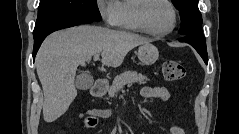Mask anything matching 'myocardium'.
I'll return each instance as SVG.
<instances>
[{
	"instance_id": "obj_1",
	"label": "myocardium",
	"mask_w": 239,
	"mask_h": 134,
	"mask_svg": "<svg viewBox=\"0 0 239 134\" xmlns=\"http://www.w3.org/2000/svg\"><path fill=\"white\" fill-rule=\"evenodd\" d=\"M152 1H155V0H139L137 6L135 8V11H134L136 23L143 32H145L151 36H156V37L167 36V35L171 34L176 29L177 21H178L177 11L171 1L158 0V1L165 3L171 10L172 24H171L170 28L165 31H154L148 26L147 21H146V10Z\"/></svg>"
}]
</instances>
